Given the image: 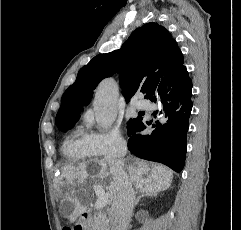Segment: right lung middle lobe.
I'll list each match as a JSON object with an SVG mask.
<instances>
[{
    "label": "right lung middle lobe",
    "instance_id": "obj_1",
    "mask_svg": "<svg viewBox=\"0 0 241 230\" xmlns=\"http://www.w3.org/2000/svg\"><path fill=\"white\" fill-rule=\"evenodd\" d=\"M142 114H139L138 117H135L133 119H130L129 122H128V133L130 131V129L136 125L137 122H139L141 119H142Z\"/></svg>",
    "mask_w": 241,
    "mask_h": 230
}]
</instances>
